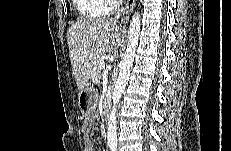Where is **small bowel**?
Masks as SVG:
<instances>
[{
    "mask_svg": "<svg viewBox=\"0 0 231 151\" xmlns=\"http://www.w3.org/2000/svg\"><path fill=\"white\" fill-rule=\"evenodd\" d=\"M83 132H84V146L85 151H94V143L91 137V130H92V120L86 119L83 123Z\"/></svg>",
    "mask_w": 231,
    "mask_h": 151,
    "instance_id": "small-bowel-1",
    "label": "small bowel"
}]
</instances>
